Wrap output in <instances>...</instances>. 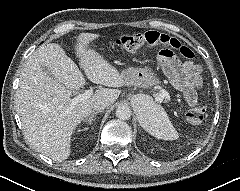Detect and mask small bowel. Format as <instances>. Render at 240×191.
<instances>
[{"mask_svg":"<svg viewBox=\"0 0 240 191\" xmlns=\"http://www.w3.org/2000/svg\"><path fill=\"white\" fill-rule=\"evenodd\" d=\"M201 73V66L191 61L180 62L174 59L168 67L173 84L184 93L190 105L197 102L196 88L202 85Z\"/></svg>","mask_w":240,"mask_h":191,"instance_id":"1","label":"small bowel"}]
</instances>
